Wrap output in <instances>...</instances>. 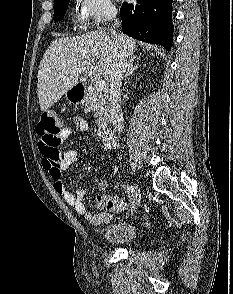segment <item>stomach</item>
<instances>
[{
    "instance_id": "obj_1",
    "label": "stomach",
    "mask_w": 233,
    "mask_h": 294,
    "mask_svg": "<svg viewBox=\"0 0 233 294\" xmlns=\"http://www.w3.org/2000/svg\"><path fill=\"white\" fill-rule=\"evenodd\" d=\"M66 98L72 103L83 102V95L75 87L67 91Z\"/></svg>"
}]
</instances>
